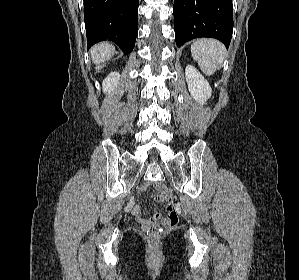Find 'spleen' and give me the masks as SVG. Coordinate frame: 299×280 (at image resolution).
I'll list each match as a JSON object with an SVG mask.
<instances>
[{"mask_svg":"<svg viewBox=\"0 0 299 280\" xmlns=\"http://www.w3.org/2000/svg\"><path fill=\"white\" fill-rule=\"evenodd\" d=\"M191 54L202 72L212 75L220 69L226 55L224 45L214 39H199L191 45Z\"/></svg>","mask_w":299,"mask_h":280,"instance_id":"spleen-1","label":"spleen"}]
</instances>
